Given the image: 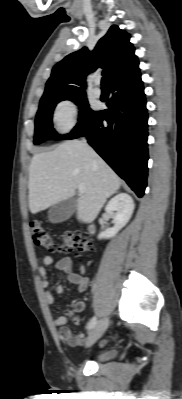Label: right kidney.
I'll list each match as a JSON object with an SVG mask.
<instances>
[{"label": "right kidney", "instance_id": "obj_1", "mask_svg": "<svg viewBox=\"0 0 182 399\" xmlns=\"http://www.w3.org/2000/svg\"><path fill=\"white\" fill-rule=\"evenodd\" d=\"M135 208L134 201L127 193H120L113 197L106 205L105 211L113 215L114 227L98 235V239L114 237L130 220Z\"/></svg>", "mask_w": 182, "mask_h": 399}]
</instances>
